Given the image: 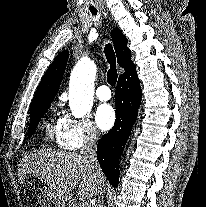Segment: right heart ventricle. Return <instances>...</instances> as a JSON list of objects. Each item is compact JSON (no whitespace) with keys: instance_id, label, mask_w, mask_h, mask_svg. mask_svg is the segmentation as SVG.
Masks as SVG:
<instances>
[{"instance_id":"obj_1","label":"right heart ventricle","mask_w":206,"mask_h":207,"mask_svg":"<svg viewBox=\"0 0 206 207\" xmlns=\"http://www.w3.org/2000/svg\"><path fill=\"white\" fill-rule=\"evenodd\" d=\"M46 132H47V135L50 139H56V141L60 145V143H59V139H60V121L55 122L52 118L49 119L48 122L46 123Z\"/></svg>"}]
</instances>
